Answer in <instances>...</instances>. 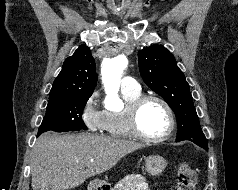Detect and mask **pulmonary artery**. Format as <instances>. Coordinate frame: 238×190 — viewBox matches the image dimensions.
Wrapping results in <instances>:
<instances>
[{
    "instance_id": "e3ab8cb5",
    "label": "pulmonary artery",
    "mask_w": 238,
    "mask_h": 190,
    "mask_svg": "<svg viewBox=\"0 0 238 190\" xmlns=\"http://www.w3.org/2000/svg\"><path fill=\"white\" fill-rule=\"evenodd\" d=\"M121 89L122 91L136 92L140 91V85L133 77L126 76L121 81Z\"/></svg>"
}]
</instances>
